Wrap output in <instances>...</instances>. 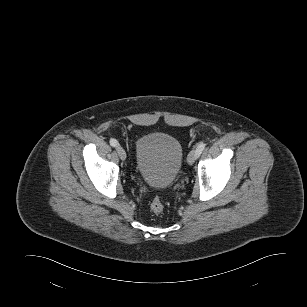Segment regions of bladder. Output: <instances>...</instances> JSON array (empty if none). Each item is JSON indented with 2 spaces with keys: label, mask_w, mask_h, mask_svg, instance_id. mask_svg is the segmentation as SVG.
Listing matches in <instances>:
<instances>
[{
  "label": "bladder",
  "mask_w": 307,
  "mask_h": 307,
  "mask_svg": "<svg viewBox=\"0 0 307 307\" xmlns=\"http://www.w3.org/2000/svg\"><path fill=\"white\" fill-rule=\"evenodd\" d=\"M183 157L181 143L167 133H149L136 143V170L152 188L165 189L172 185L181 170Z\"/></svg>",
  "instance_id": "1"
}]
</instances>
